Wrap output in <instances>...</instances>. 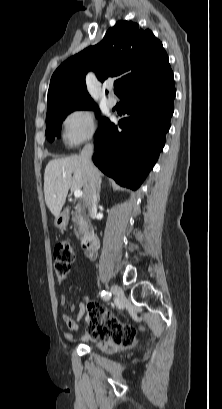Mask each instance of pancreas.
I'll return each mask as SVG.
<instances>
[{"instance_id": "pancreas-1", "label": "pancreas", "mask_w": 222, "mask_h": 409, "mask_svg": "<svg viewBox=\"0 0 222 409\" xmlns=\"http://www.w3.org/2000/svg\"><path fill=\"white\" fill-rule=\"evenodd\" d=\"M74 209L75 211H72L71 213L72 221L74 223V226L78 228L77 234L81 235V239H84L89 230L88 221L86 219L84 209L80 204H77Z\"/></svg>"}]
</instances>
